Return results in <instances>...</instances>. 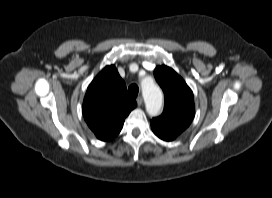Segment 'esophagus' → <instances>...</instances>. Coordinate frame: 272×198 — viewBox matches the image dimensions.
Wrapping results in <instances>:
<instances>
[{
  "mask_svg": "<svg viewBox=\"0 0 272 198\" xmlns=\"http://www.w3.org/2000/svg\"><path fill=\"white\" fill-rule=\"evenodd\" d=\"M136 101H137L138 106H141V105L143 104V98H142L141 96H139V97L136 99Z\"/></svg>",
  "mask_w": 272,
  "mask_h": 198,
  "instance_id": "obj_1",
  "label": "esophagus"
}]
</instances>
